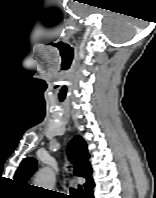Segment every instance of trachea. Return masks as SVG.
Here are the masks:
<instances>
[{
    "label": "trachea",
    "instance_id": "1",
    "mask_svg": "<svg viewBox=\"0 0 156 198\" xmlns=\"http://www.w3.org/2000/svg\"><path fill=\"white\" fill-rule=\"evenodd\" d=\"M71 196L70 198H82V188L78 187V189L70 188Z\"/></svg>",
    "mask_w": 156,
    "mask_h": 198
}]
</instances>
